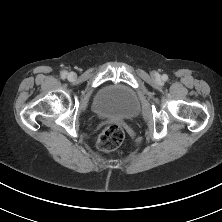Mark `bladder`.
<instances>
[{
	"label": "bladder",
	"mask_w": 222,
	"mask_h": 222,
	"mask_svg": "<svg viewBox=\"0 0 222 222\" xmlns=\"http://www.w3.org/2000/svg\"><path fill=\"white\" fill-rule=\"evenodd\" d=\"M99 118H132L139 111V101L128 86L112 84L101 89L92 103Z\"/></svg>",
	"instance_id": "bladder-1"
}]
</instances>
